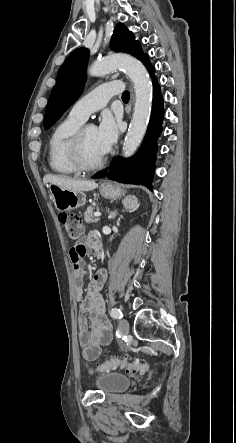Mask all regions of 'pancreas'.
<instances>
[{
  "label": "pancreas",
  "mask_w": 236,
  "mask_h": 443,
  "mask_svg": "<svg viewBox=\"0 0 236 443\" xmlns=\"http://www.w3.org/2000/svg\"><path fill=\"white\" fill-rule=\"evenodd\" d=\"M94 207L88 206L87 210L84 213V221L86 223H94L97 222L98 219L93 217Z\"/></svg>",
  "instance_id": "1"
}]
</instances>
